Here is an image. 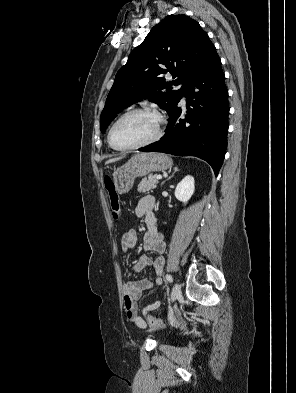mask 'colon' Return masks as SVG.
Masks as SVG:
<instances>
[{
	"label": "colon",
	"instance_id": "1",
	"mask_svg": "<svg viewBox=\"0 0 296 393\" xmlns=\"http://www.w3.org/2000/svg\"><path fill=\"white\" fill-rule=\"evenodd\" d=\"M104 187L109 195V200H110V207L112 214L114 218H118L119 213H120V204H119V198L116 193L115 189V184L110 176H106L104 178ZM146 321L148 322L149 325H151L154 328H163L164 324L161 320L154 318L151 315H147Z\"/></svg>",
	"mask_w": 296,
	"mask_h": 393
}]
</instances>
